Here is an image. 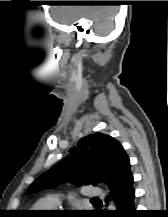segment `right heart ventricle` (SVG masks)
<instances>
[{
    "mask_svg": "<svg viewBox=\"0 0 168 217\" xmlns=\"http://www.w3.org/2000/svg\"><path fill=\"white\" fill-rule=\"evenodd\" d=\"M51 207H54L53 205H51L47 199L46 200H40L38 201L34 206L33 209L35 210H47L50 209Z\"/></svg>",
    "mask_w": 168,
    "mask_h": 217,
    "instance_id": "1",
    "label": "right heart ventricle"
}]
</instances>
